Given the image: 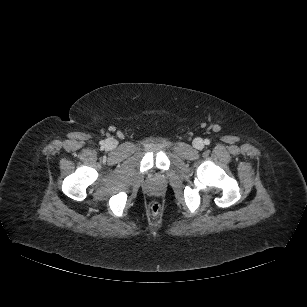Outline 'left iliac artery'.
<instances>
[{
	"instance_id": "44dca946",
	"label": "left iliac artery",
	"mask_w": 307,
	"mask_h": 307,
	"mask_svg": "<svg viewBox=\"0 0 307 307\" xmlns=\"http://www.w3.org/2000/svg\"><path fill=\"white\" fill-rule=\"evenodd\" d=\"M204 143H205L206 145H209V144H210V141H209L208 139H205V140H204Z\"/></svg>"
}]
</instances>
